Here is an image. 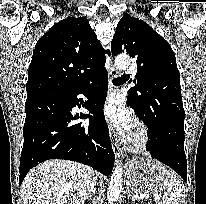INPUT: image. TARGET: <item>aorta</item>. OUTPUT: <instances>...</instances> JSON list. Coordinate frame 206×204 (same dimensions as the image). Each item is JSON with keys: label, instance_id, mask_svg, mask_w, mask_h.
Returning <instances> with one entry per match:
<instances>
[{"label": "aorta", "instance_id": "1", "mask_svg": "<svg viewBox=\"0 0 206 204\" xmlns=\"http://www.w3.org/2000/svg\"><path fill=\"white\" fill-rule=\"evenodd\" d=\"M130 62V57L125 54L118 55L115 58V66L119 70L126 69L130 65ZM122 184V167L120 163H117L108 185L107 201L109 204H114V202L118 199L122 190Z\"/></svg>", "mask_w": 206, "mask_h": 204}]
</instances>
